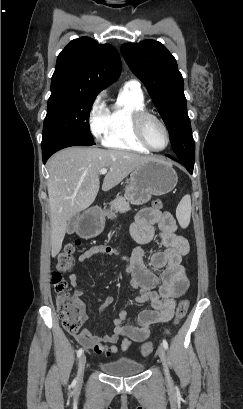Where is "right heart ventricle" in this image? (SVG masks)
Listing matches in <instances>:
<instances>
[{
  "label": "right heart ventricle",
  "instance_id": "obj_1",
  "mask_svg": "<svg viewBox=\"0 0 243 409\" xmlns=\"http://www.w3.org/2000/svg\"><path fill=\"white\" fill-rule=\"evenodd\" d=\"M145 109L143 93L123 87L117 100L110 106V128L104 138L106 147L123 149L137 153H150L136 137L133 129V116Z\"/></svg>",
  "mask_w": 243,
  "mask_h": 409
}]
</instances>
